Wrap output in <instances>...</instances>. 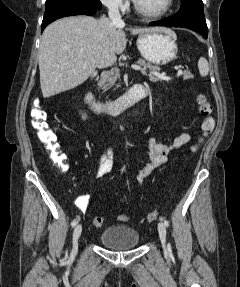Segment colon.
Listing matches in <instances>:
<instances>
[{
	"instance_id": "5ec220e1",
	"label": "colon",
	"mask_w": 240,
	"mask_h": 287,
	"mask_svg": "<svg viewBox=\"0 0 240 287\" xmlns=\"http://www.w3.org/2000/svg\"><path fill=\"white\" fill-rule=\"evenodd\" d=\"M196 101L198 104L199 113L202 116V122H201L202 137L196 144H194L191 147L192 152H195L199 148L203 139L212 132L215 126V121L211 116L212 106L206 95L198 94ZM30 116H31V126L35 130L38 140L42 144H44L46 148L50 151L51 157L53 158L55 163L59 167L65 168L66 166L65 157L58 150V146L56 143V135L48 127V124L46 122L47 114L38 102H34L33 107L30 111ZM157 218H158V212L152 211L146 215L145 220L148 222H153ZM117 219L119 221L124 222L128 220V217L126 215H119ZM92 224L95 227H101L103 224V218L100 216L94 217L92 219Z\"/></svg>"
}]
</instances>
